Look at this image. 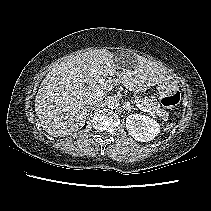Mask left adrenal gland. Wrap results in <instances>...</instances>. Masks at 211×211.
Returning <instances> with one entry per match:
<instances>
[{"mask_svg": "<svg viewBox=\"0 0 211 211\" xmlns=\"http://www.w3.org/2000/svg\"><path fill=\"white\" fill-rule=\"evenodd\" d=\"M125 107H126V110L130 113L131 112V110H136V108H134L132 105H130V104H126L125 105Z\"/></svg>", "mask_w": 211, "mask_h": 211, "instance_id": "obj_1", "label": "left adrenal gland"}]
</instances>
